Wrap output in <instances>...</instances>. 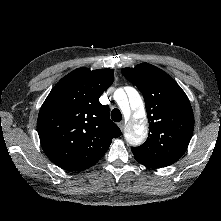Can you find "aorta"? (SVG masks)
I'll return each mask as SVG.
<instances>
[{"mask_svg": "<svg viewBox=\"0 0 221 221\" xmlns=\"http://www.w3.org/2000/svg\"><path fill=\"white\" fill-rule=\"evenodd\" d=\"M118 105L125 115L130 114V109L134 112L129 126L125 133V138L131 145L143 142L147 136V122L145 120V108L141 96L135 89L129 91L128 97L123 90H120Z\"/></svg>", "mask_w": 221, "mask_h": 221, "instance_id": "1", "label": "aorta"}]
</instances>
